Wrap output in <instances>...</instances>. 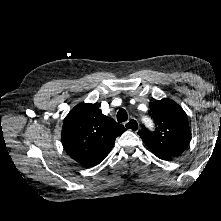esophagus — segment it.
Returning a JSON list of instances; mask_svg holds the SVG:
<instances>
[{
  "label": "esophagus",
  "instance_id": "esophagus-1",
  "mask_svg": "<svg viewBox=\"0 0 221 221\" xmlns=\"http://www.w3.org/2000/svg\"><path fill=\"white\" fill-rule=\"evenodd\" d=\"M125 128L131 130L133 132H137L139 130V123L136 119H130L124 123Z\"/></svg>",
  "mask_w": 221,
  "mask_h": 221
}]
</instances>
